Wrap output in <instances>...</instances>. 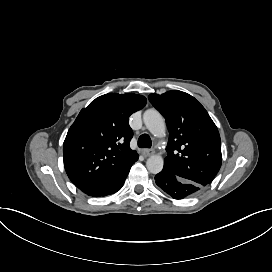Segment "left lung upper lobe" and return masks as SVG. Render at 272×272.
<instances>
[{
	"label": "left lung upper lobe",
	"mask_w": 272,
	"mask_h": 272,
	"mask_svg": "<svg viewBox=\"0 0 272 272\" xmlns=\"http://www.w3.org/2000/svg\"><path fill=\"white\" fill-rule=\"evenodd\" d=\"M152 105L164 116L169 130L164 168L200 186L209 184L220 169L221 140L204 107L191 95L168 91L150 94Z\"/></svg>",
	"instance_id": "1"
}]
</instances>
